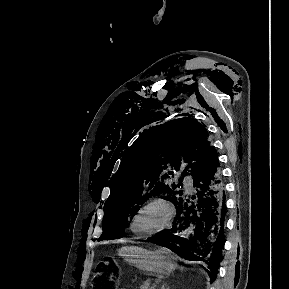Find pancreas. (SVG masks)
Returning a JSON list of instances; mask_svg holds the SVG:
<instances>
[{"instance_id":"cf45deb5","label":"pancreas","mask_w":289,"mask_h":289,"mask_svg":"<svg viewBox=\"0 0 289 289\" xmlns=\"http://www.w3.org/2000/svg\"><path fill=\"white\" fill-rule=\"evenodd\" d=\"M140 289H155V288L154 285H151L149 282H144L141 285Z\"/></svg>"}]
</instances>
